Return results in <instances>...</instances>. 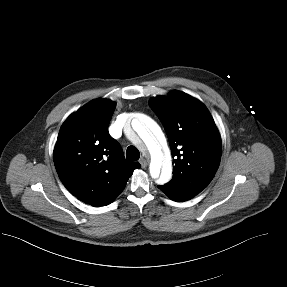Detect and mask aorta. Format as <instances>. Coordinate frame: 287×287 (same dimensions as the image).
I'll use <instances>...</instances> for the list:
<instances>
[{"label": "aorta", "instance_id": "obj_1", "mask_svg": "<svg viewBox=\"0 0 287 287\" xmlns=\"http://www.w3.org/2000/svg\"><path fill=\"white\" fill-rule=\"evenodd\" d=\"M143 120L148 129L155 136V140L148 134L138 120L134 119L132 121V126L142 136L151 156L149 167L150 175L152 178L158 179L162 184L167 183L172 177V164L165 136L158 124L150 117L143 115Z\"/></svg>", "mask_w": 287, "mask_h": 287}]
</instances>
